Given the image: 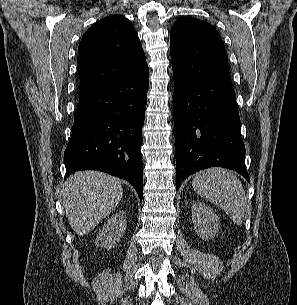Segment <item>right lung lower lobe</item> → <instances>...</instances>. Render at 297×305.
I'll use <instances>...</instances> for the list:
<instances>
[{
  "instance_id": "obj_1",
  "label": "right lung lower lobe",
  "mask_w": 297,
  "mask_h": 305,
  "mask_svg": "<svg viewBox=\"0 0 297 305\" xmlns=\"http://www.w3.org/2000/svg\"><path fill=\"white\" fill-rule=\"evenodd\" d=\"M149 87L148 66L79 99L64 153L66 175L94 169L129 181L143 198L141 130Z\"/></svg>"
}]
</instances>
